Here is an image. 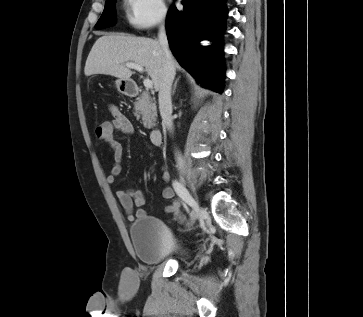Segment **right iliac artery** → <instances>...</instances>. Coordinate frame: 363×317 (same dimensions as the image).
<instances>
[{"label":"right iliac artery","mask_w":363,"mask_h":317,"mask_svg":"<svg viewBox=\"0 0 363 317\" xmlns=\"http://www.w3.org/2000/svg\"><path fill=\"white\" fill-rule=\"evenodd\" d=\"M173 188L175 190V192L177 193V195L185 202L187 203L190 207L194 208L195 207V201L194 199L191 197V195L189 194V192L187 191V189L178 181H173Z\"/></svg>","instance_id":"82829eb1"}]
</instances>
